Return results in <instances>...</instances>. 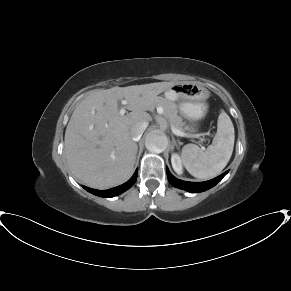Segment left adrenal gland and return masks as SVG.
I'll list each match as a JSON object with an SVG mask.
<instances>
[{"label":"left adrenal gland","instance_id":"a2214340","mask_svg":"<svg viewBox=\"0 0 291 291\" xmlns=\"http://www.w3.org/2000/svg\"><path fill=\"white\" fill-rule=\"evenodd\" d=\"M172 145L176 146L178 148V144H177V142H176L174 137H172Z\"/></svg>","mask_w":291,"mask_h":291}]
</instances>
